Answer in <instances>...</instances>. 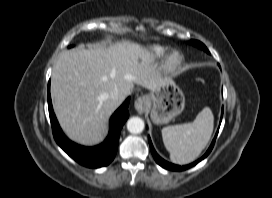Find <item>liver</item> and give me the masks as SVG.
Returning <instances> with one entry per match:
<instances>
[{"label": "liver", "instance_id": "liver-1", "mask_svg": "<svg viewBox=\"0 0 272 198\" xmlns=\"http://www.w3.org/2000/svg\"><path fill=\"white\" fill-rule=\"evenodd\" d=\"M154 55L138 43L122 40L109 45L65 51L52 73L51 97L61 128L73 141L94 145L102 141L111 114L134 85L150 90L164 81ZM118 89V101L110 93Z\"/></svg>", "mask_w": 272, "mask_h": 198}]
</instances>
